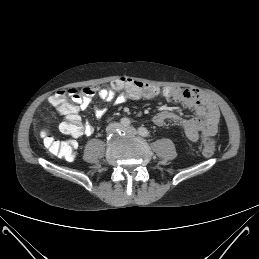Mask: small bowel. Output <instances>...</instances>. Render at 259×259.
<instances>
[{
  "mask_svg": "<svg viewBox=\"0 0 259 259\" xmlns=\"http://www.w3.org/2000/svg\"><path fill=\"white\" fill-rule=\"evenodd\" d=\"M155 88L156 94L154 96L140 97L132 95L126 91H115L109 88L88 86L83 88L80 92H70V100L63 102L61 105L54 103L55 98L62 96L60 93L51 96L49 98V102L53 106L57 107L58 112L64 116L65 120L73 118L80 120L79 112L89 108L96 95L100 101L110 103L112 105H120L128 100H139L141 98H162L167 101L181 102L187 108L193 110L196 117L183 118L175 112L160 111L155 114L152 119L155 125L163 126L167 122H175L183 128L186 137L192 142H197L202 138H211L217 133L220 117L219 110L214 102L208 97L195 89L157 86H155ZM93 112L98 119H101L104 117L106 109L97 104L93 106ZM93 132L94 128L90 123H81L80 133L76 137L90 136Z\"/></svg>",
  "mask_w": 259,
  "mask_h": 259,
  "instance_id": "1",
  "label": "small bowel"
}]
</instances>
